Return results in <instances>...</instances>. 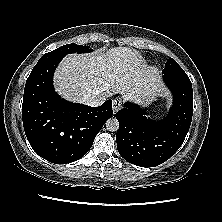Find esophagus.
Masks as SVG:
<instances>
[{"mask_svg":"<svg viewBox=\"0 0 222 222\" xmlns=\"http://www.w3.org/2000/svg\"><path fill=\"white\" fill-rule=\"evenodd\" d=\"M113 111L114 113H116L118 110H120L122 108V101L119 98H115L113 100Z\"/></svg>","mask_w":222,"mask_h":222,"instance_id":"obj_1","label":"esophagus"}]
</instances>
